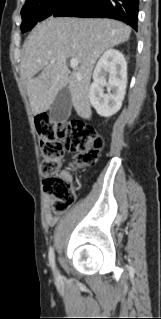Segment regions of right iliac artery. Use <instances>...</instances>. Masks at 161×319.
Returning <instances> with one entry per match:
<instances>
[{
  "label": "right iliac artery",
  "instance_id": "82829eb1",
  "mask_svg": "<svg viewBox=\"0 0 161 319\" xmlns=\"http://www.w3.org/2000/svg\"><path fill=\"white\" fill-rule=\"evenodd\" d=\"M49 262L51 267L54 269L55 267V255H54V249L50 248L49 250Z\"/></svg>",
  "mask_w": 161,
  "mask_h": 319
}]
</instances>
